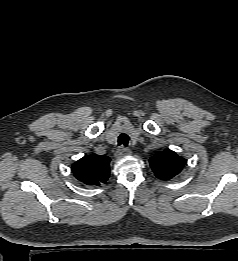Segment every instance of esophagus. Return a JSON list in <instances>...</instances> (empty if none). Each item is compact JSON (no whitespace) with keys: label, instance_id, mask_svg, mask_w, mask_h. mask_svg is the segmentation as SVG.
Listing matches in <instances>:
<instances>
[{"label":"esophagus","instance_id":"obj_1","mask_svg":"<svg viewBox=\"0 0 238 261\" xmlns=\"http://www.w3.org/2000/svg\"><path fill=\"white\" fill-rule=\"evenodd\" d=\"M130 154H131L130 149H128L124 146L119 147L117 152H116V156L118 158H121V157L126 156V155H130Z\"/></svg>","mask_w":238,"mask_h":261}]
</instances>
